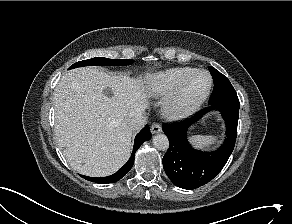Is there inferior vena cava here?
Wrapping results in <instances>:
<instances>
[{
    "label": "inferior vena cava",
    "mask_w": 292,
    "mask_h": 224,
    "mask_svg": "<svg viewBox=\"0 0 292 224\" xmlns=\"http://www.w3.org/2000/svg\"><path fill=\"white\" fill-rule=\"evenodd\" d=\"M145 107L140 105L135 111L131 112L128 118V125L131 129H139L145 122Z\"/></svg>",
    "instance_id": "1"
}]
</instances>
